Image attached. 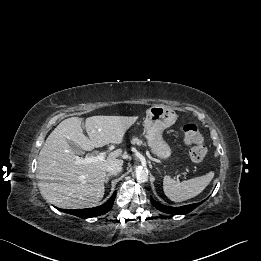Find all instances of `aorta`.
I'll return each mask as SVG.
<instances>
[{
    "label": "aorta",
    "instance_id": "1",
    "mask_svg": "<svg viewBox=\"0 0 261 261\" xmlns=\"http://www.w3.org/2000/svg\"><path fill=\"white\" fill-rule=\"evenodd\" d=\"M133 175L139 182H146L148 180V171L142 167L136 168Z\"/></svg>",
    "mask_w": 261,
    "mask_h": 261
}]
</instances>
